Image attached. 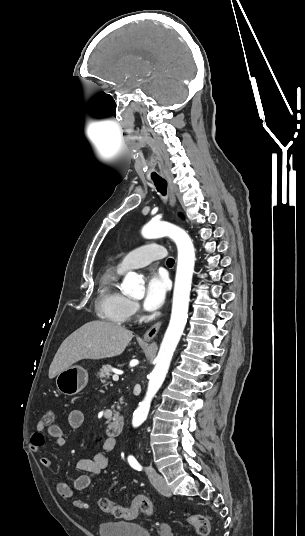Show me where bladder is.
<instances>
[{"label": "bladder", "instance_id": "obj_1", "mask_svg": "<svg viewBox=\"0 0 305 536\" xmlns=\"http://www.w3.org/2000/svg\"><path fill=\"white\" fill-rule=\"evenodd\" d=\"M98 536H152L150 530L133 520H115L99 522L97 526Z\"/></svg>", "mask_w": 305, "mask_h": 536}]
</instances>
